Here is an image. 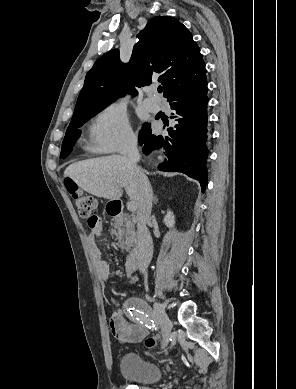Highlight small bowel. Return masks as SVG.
<instances>
[{
	"instance_id": "obj_1",
	"label": "small bowel",
	"mask_w": 296,
	"mask_h": 389,
	"mask_svg": "<svg viewBox=\"0 0 296 389\" xmlns=\"http://www.w3.org/2000/svg\"><path fill=\"white\" fill-rule=\"evenodd\" d=\"M90 226V234L88 236V244L91 254L95 260L96 269L103 281H107L110 278V269L105 260H103L101 251L96 244V239L102 234V222L99 217H96V222ZM138 280L136 273L129 274V283L135 284ZM113 303L117 305V302L113 300ZM111 330L118 340L122 343H138L141 342L148 334V331L144 325L132 324L127 321L125 316L120 310H117L110 322Z\"/></svg>"
}]
</instances>
